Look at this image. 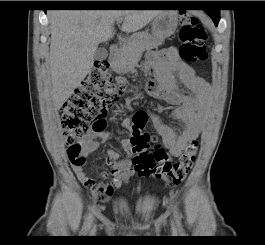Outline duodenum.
Listing matches in <instances>:
<instances>
[{
	"mask_svg": "<svg viewBox=\"0 0 265 245\" xmlns=\"http://www.w3.org/2000/svg\"><path fill=\"white\" fill-rule=\"evenodd\" d=\"M119 46L117 43H114L109 48V59L116 60L118 58Z\"/></svg>",
	"mask_w": 265,
	"mask_h": 245,
	"instance_id": "obj_1",
	"label": "duodenum"
}]
</instances>
